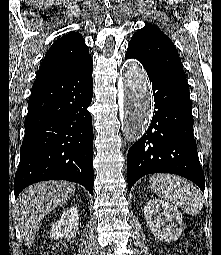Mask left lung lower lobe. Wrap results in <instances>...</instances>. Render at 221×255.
<instances>
[{"mask_svg": "<svg viewBox=\"0 0 221 255\" xmlns=\"http://www.w3.org/2000/svg\"><path fill=\"white\" fill-rule=\"evenodd\" d=\"M129 58L136 57L127 52L125 59ZM143 66L152 83L155 108L147 132L128 151V190L147 174L173 173L193 181L204 192L205 179L193 136L189 88Z\"/></svg>", "mask_w": 221, "mask_h": 255, "instance_id": "obj_1", "label": "left lung lower lobe"}]
</instances>
